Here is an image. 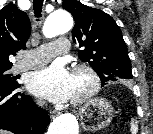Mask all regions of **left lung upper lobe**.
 <instances>
[{
    "mask_svg": "<svg viewBox=\"0 0 153 134\" xmlns=\"http://www.w3.org/2000/svg\"><path fill=\"white\" fill-rule=\"evenodd\" d=\"M63 8L75 20L73 41L83 48L78 56L97 72L102 86L111 81L132 79L126 43L114 19L102 10L83 5L77 0H64Z\"/></svg>",
    "mask_w": 153,
    "mask_h": 134,
    "instance_id": "1",
    "label": "left lung upper lobe"
}]
</instances>
